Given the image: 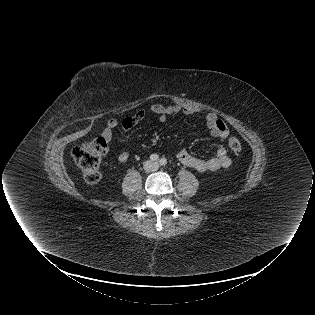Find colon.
<instances>
[{
  "label": "colon",
  "instance_id": "5ec220e1",
  "mask_svg": "<svg viewBox=\"0 0 315 315\" xmlns=\"http://www.w3.org/2000/svg\"><path fill=\"white\" fill-rule=\"evenodd\" d=\"M229 149L236 155L242 151L240 141L231 137L228 141ZM108 142L101 134L93 137L76 147L73 151V158L80 168L83 178L89 185L96 184L101 178V160L106 154Z\"/></svg>",
  "mask_w": 315,
  "mask_h": 315
}]
</instances>
